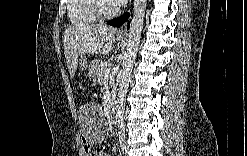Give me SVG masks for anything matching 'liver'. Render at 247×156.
<instances>
[{
    "instance_id": "obj_1",
    "label": "liver",
    "mask_w": 247,
    "mask_h": 156,
    "mask_svg": "<svg viewBox=\"0 0 247 156\" xmlns=\"http://www.w3.org/2000/svg\"><path fill=\"white\" fill-rule=\"evenodd\" d=\"M115 34L114 27L102 24L68 27L63 42L70 77L75 76L80 55L109 53L114 48Z\"/></svg>"
}]
</instances>
